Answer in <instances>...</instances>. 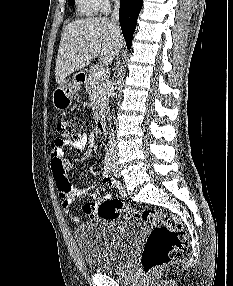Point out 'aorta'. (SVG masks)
Masks as SVG:
<instances>
[{"label":"aorta","mask_w":233,"mask_h":286,"mask_svg":"<svg viewBox=\"0 0 233 286\" xmlns=\"http://www.w3.org/2000/svg\"><path fill=\"white\" fill-rule=\"evenodd\" d=\"M111 119H112V116L109 115V116H108V121H111Z\"/></svg>","instance_id":"762f6f07"}]
</instances>
